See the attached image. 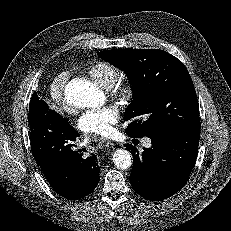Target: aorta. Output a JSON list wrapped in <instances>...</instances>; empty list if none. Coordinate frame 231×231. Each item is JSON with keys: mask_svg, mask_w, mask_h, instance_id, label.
Wrapping results in <instances>:
<instances>
[{"mask_svg": "<svg viewBox=\"0 0 231 231\" xmlns=\"http://www.w3.org/2000/svg\"><path fill=\"white\" fill-rule=\"evenodd\" d=\"M64 96L66 102L76 108H95L104 101L103 93L86 79L71 80L65 86ZM113 163L117 168L128 169L132 165V155L127 150L118 149L113 154Z\"/></svg>", "mask_w": 231, "mask_h": 231, "instance_id": "762f6f07", "label": "aorta"}]
</instances>
